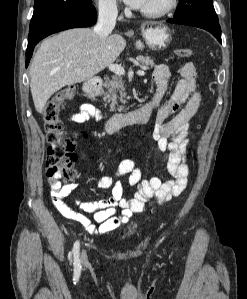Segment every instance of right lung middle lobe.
I'll list each match as a JSON object with an SVG mask.
<instances>
[{
  "label": "right lung middle lobe",
  "instance_id": "1",
  "mask_svg": "<svg viewBox=\"0 0 247 299\" xmlns=\"http://www.w3.org/2000/svg\"><path fill=\"white\" fill-rule=\"evenodd\" d=\"M91 4V0H35L30 29L56 15Z\"/></svg>",
  "mask_w": 247,
  "mask_h": 299
}]
</instances>
